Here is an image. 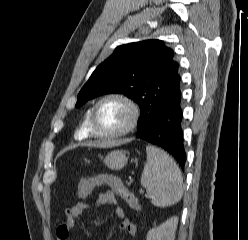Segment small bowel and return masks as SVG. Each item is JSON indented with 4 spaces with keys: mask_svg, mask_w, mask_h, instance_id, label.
<instances>
[{
    "mask_svg": "<svg viewBox=\"0 0 248 240\" xmlns=\"http://www.w3.org/2000/svg\"><path fill=\"white\" fill-rule=\"evenodd\" d=\"M106 204L115 206V214L120 218L119 229L120 231L126 232L131 236H135L137 227L131 222L125 214L124 209L118 205L115 194L111 191L99 194L94 203L80 202L74 207L66 211V217L63 224H61L56 230V236L58 240H69L71 229L74 227L75 220L88 212L93 208L102 207Z\"/></svg>",
    "mask_w": 248,
    "mask_h": 240,
    "instance_id": "1",
    "label": "small bowel"
}]
</instances>
